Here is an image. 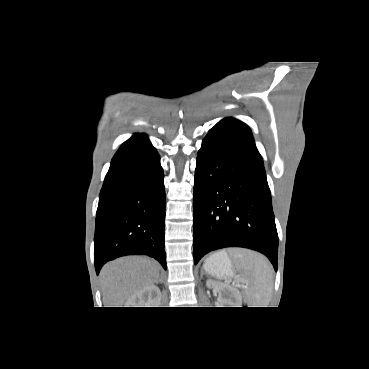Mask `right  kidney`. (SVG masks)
Masks as SVG:
<instances>
[{
	"mask_svg": "<svg viewBox=\"0 0 369 369\" xmlns=\"http://www.w3.org/2000/svg\"><path fill=\"white\" fill-rule=\"evenodd\" d=\"M161 300V292L158 286L150 285L130 296L125 307H156Z\"/></svg>",
	"mask_w": 369,
	"mask_h": 369,
	"instance_id": "ca27d5eb",
	"label": "right kidney"
}]
</instances>
